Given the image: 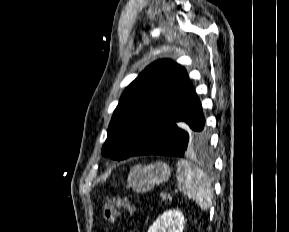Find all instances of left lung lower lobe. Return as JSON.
I'll return each mask as SVG.
<instances>
[{
    "label": "left lung lower lobe",
    "instance_id": "0a47b994",
    "mask_svg": "<svg viewBox=\"0 0 289 232\" xmlns=\"http://www.w3.org/2000/svg\"><path fill=\"white\" fill-rule=\"evenodd\" d=\"M208 147L209 135L204 126L201 103L196 93L191 91L171 120L131 156L157 154L183 157L204 152Z\"/></svg>",
    "mask_w": 289,
    "mask_h": 232
}]
</instances>
